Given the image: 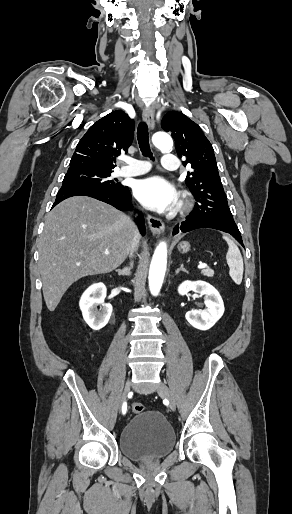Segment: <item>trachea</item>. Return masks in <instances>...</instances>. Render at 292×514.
<instances>
[{"label":"trachea","mask_w":292,"mask_h":514,"mask_svg":"<svg viewBox=\"0 0 292 514\" xmlns=\"http://www.w3.org/2000/svg\"><path fill=\"white\" fill-rule=\"evenodd\" d=\"M137 140L142 155L149 157L151 160H154L150 150L148 126L145 122H140L138 125Z\"/></svg>","instance_id":"trachea-1"}]
</instances>
